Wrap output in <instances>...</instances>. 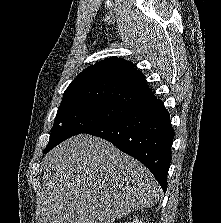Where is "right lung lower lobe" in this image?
Returning <instances> with one entry per match:
<instances>
[{
    "instance_id": "1",
    "label": "right lung lower lobe",
    "mask_w": 221,
    "mask_h": 223,
    "mask_svg": "<svg viewBox=\"0 0 221 223\" xmlns=\"http://www.w3.org/2000/svg\"><path fill=\"white\" fill-rule=\"evenodd\" d=\"M85 133L111 142L142 162L166 191L174 130L161 100L155 98L138 105L115 120Z\"/></svg>"
}]
</instances>
